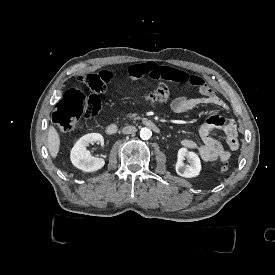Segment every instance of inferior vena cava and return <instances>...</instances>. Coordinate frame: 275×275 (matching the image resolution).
Returning <instances> with one entry per match:
<instances>
[{
  "mask_svg": "<svg viewBox=\"0 0 275 275\" xmlns=\"http://www.w3.org/2000/svg\"><path fill=\"white\" fill-rule=\"evenodd\" d=\"M137 131L135 126H125L122 128V133L123 134H132Z\"/></svg>",
  "mask_w": 275,
  "mask_h": 275,
  "instance_id": "obj_1",
  "label": "inferior vena cava"
}]
</instances>
